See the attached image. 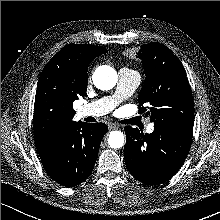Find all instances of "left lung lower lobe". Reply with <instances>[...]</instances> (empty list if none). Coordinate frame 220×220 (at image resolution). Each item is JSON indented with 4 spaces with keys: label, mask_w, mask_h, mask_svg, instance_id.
<instances>
[{
    "label": "left lung lower lobe",
    "mask_w": 220,
    "mask_h": 220,
    "mask_svg": "<svg viewBox=\"0 0 220 220\" xmlns=\"http://www.w3.org/2000/svg\"><path fill=\"white\" fill-rule=\"evenodd\" d=\"M124 157L131 175L138 181L156 185L171 179L189 152L193 129L169 123L154 126L151 134L126 126Z\"/></svg>",
    "instance_id": "0a47b994"
}]
</instances>
